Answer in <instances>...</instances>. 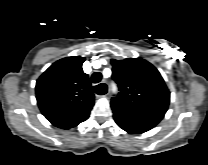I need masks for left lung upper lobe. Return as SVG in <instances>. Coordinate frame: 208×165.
<instances>
[{"instance_id":"obj_1","label":"left lung upper lobe","mask_w":208,"mask_h":165,"mask_svg":"<svg viewBox=\"0 0 208 165\" xmlns=\"http://www.w3.org/2000/svg\"><path fill=\"white\" fill-rule=\"evenodd\" d=\"M113 80L119 93L111 100L113 115L155 127L164 117L170 92L159 71L141 58L112 59Z\"/></svg>"}]
</instances>
